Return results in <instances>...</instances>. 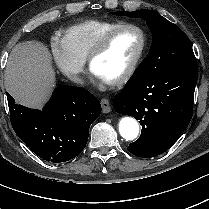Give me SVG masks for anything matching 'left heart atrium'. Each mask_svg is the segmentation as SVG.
I'll use <instances>...</instances> for the list:
<instances>
[{"label": "left heart atrium", "instance_id": "39dd6f15", "mask_svg": "<svg viewBox=\"0 0 209 209\" xmlns=\"http://www.w3.org/2000/svg\"><path fill=\"white\" fill-rule=\"evenodd\" d=\"M92 75L97 80H103L95 71L92 70Z\"/></svg>", "mask_w": 209, "mask_h": 209}]
</instances>
